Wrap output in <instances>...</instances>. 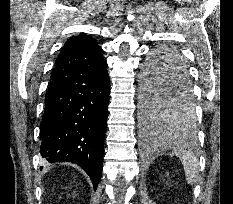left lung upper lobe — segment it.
Returning a JSON list of instances; mask_svg holds the SVG:
<instances>
[{
	"label": "left lung upper lobe",
	"mask_w": 233,
	"mask_h": 204,
	"mask_svg": "<svg viewBox=\"0 0 233 204\" xmlns=\"http://www.w3.org/2000/svg\"><path fill=\"white\" fill-rule=\"evenodd\" d=\"M182 64H185L183 58L172 47L159 48L147 60L143 76L146 123L167 130L192 132L195 129L196 114L191 82L184 88H168L171 78Z\"/></svg>",
	"instance_id": "1"
}]
</instances>
